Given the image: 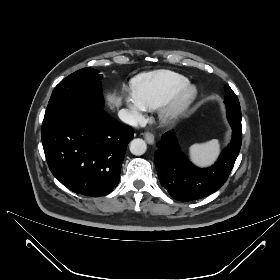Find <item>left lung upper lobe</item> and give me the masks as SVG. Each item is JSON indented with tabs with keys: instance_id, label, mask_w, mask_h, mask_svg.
Instances as JSON below:
<instances>
[{
	"instance_id": "obj_1",
	"label": "left lung upper lobe",
	"mask_w": 280,
	"mask_h": 280,
	"mask_svg": "<svg viewBox=\"0 0 280 280\" xmlns=\"http://www.w3.org/2000/svg\"><path fill=\"white\" fill-rule=\"evenodd\" d=\"M225 89H226V97L224 103L227 106L228 119H231V117L237 118L238 124L236 126L237 129L241 131V109H240L239 100L236 94L228 85H225Z\"/></svg>"
}]
</instances>
